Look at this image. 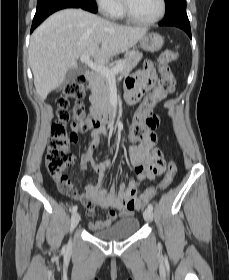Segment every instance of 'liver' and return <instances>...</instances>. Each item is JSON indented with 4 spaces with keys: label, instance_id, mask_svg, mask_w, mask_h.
Returning <instances> with one entry per match:
<instances>
[{
    "label": "liver",
    "instance_id": "6515ba94",
    "mask_svg": "<svg viewBox=\"0 0 229 280\" xmlns=\"http://www.w3.org/2000/svg\"><path fill=\"white\" fill-rule=\"evenodd\" d=\"M145 28L114 24L81 9H64L47 18L32 34L29 63L42 100L64 82L77 60L89 55L103 64L132 48Z\"/></svg>",
    "mask_w": 229,
    "mask_h": 280
}]
</instances>
